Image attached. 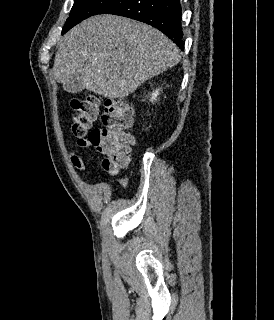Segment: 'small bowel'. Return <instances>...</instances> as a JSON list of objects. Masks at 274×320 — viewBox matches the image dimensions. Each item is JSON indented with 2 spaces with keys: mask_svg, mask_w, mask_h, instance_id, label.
Returning <instances> with one entry per match:
<instances>
[{
  "mask_svg": "<svg viewBox=\"0 0 274 320\" xmlns=\"http://www.w3.org/2000/svg\"><path fill=\"white\" fill-rule=\"evenodd\" d=\"M89 146H91V143L89 142L88 139L81 138V139L77 140L76 147L78 149L86 148ZM70 161H71L72 165L75 168H77L78 170H81V171L87 170V166L84 163L83 158L78 150H74L70 153Z\"/></svg>",
  "mask_w": 274,
  "mask_h": 320,
  "instance_id": "c3829d8e",
  "label": "small bowel"
}]
</instances>
